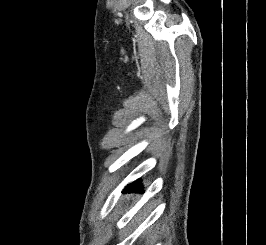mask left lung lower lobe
<instances>
[{
    "label": "left lung lower lobe",
    "instance_id": "obj_1",
    "mask_svg": "<svg viewBox=\"0 0 266 245\" xmlns=\"http://www.w3.org/2000/svg\"><path fill=\"white\" fill-rule=\"evenodd\" d=\"M140 187H141V181L140 180H137L135 182H133L132 184L128 185L126 187V189L123 191V193H126V192H131L133 190H140Z\"/></svg>",
    "mask_w": 266,
    "mask_h": 245
}]
</instances>
